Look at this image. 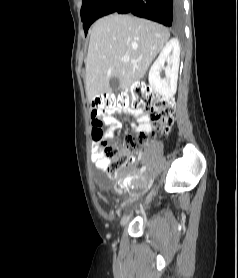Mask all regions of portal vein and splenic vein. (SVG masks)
I'll list each match as a JSON object with an SVG mask.
<instances>
[{
    "label": "portal vein and splenic vein",
    "instance_id": "1",
    "mask_svg": "<svg viewBox=\"0 0 238 278\" xmlns=\"http://www.w3.org/2000/svg\"><path fill=\"white\" fill-rule=\"evenodd\" d=\"M122 60H123V61H129L130 58H129L128 56H124V57L122 58ZM132 62H135V61H132Z\"/></svg>",
    "mask_w": 238,
    "mask_h": 278
}]
</instances>
